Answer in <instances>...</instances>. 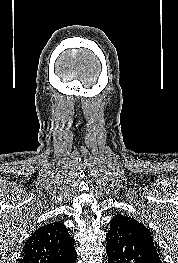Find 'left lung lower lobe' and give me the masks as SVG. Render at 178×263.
I'll use <instances>...</instances> for the list:
<instances>
[{
    "mask_svg": "<svg viewBox=\"0 0 178 263\" xmlns=\"http://www.w3.org/2000/svg\"><path fill=\"white\" fill-rule=\"evenodd\" d=\"M108 263H162L151 233L123 216H115L106 235Z\"/></svg>",
    "mask_w": 178,
    "mask_h": 263,
    "instance_id": "obj_1",
    "label": "left lung lower lobe"
}]
</instances>
